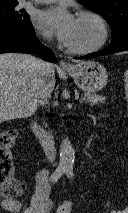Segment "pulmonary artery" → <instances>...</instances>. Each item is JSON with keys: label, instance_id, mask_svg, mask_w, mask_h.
Instances as JSON below:
<instances>
[{"label": "pulmonary artery", "instance_id": "1", "mask_svg": "<svg viewBox=\"0 0 128 213\" xmlns=\"http://www.w3.org/2000/svg\"><path fill=\"white\" fill-rule=\"evenodd\" d=\"M57 0H31V2L33 3H51V2H55Z\"/></svg>", "mask_w": 128, "mask_h": 213}]
</instances>
